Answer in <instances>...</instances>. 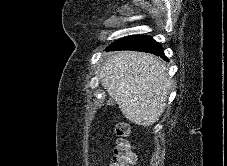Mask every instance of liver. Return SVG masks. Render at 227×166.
<instances>
[{
    "instance_id": "1",
    "label": "liver",
    "mask_w": 227,
    "mask_h": 166,
    "mask_svg": "<svg viewBox=\"0 0 227 166\" xmlns=\"http://www.w3.org/2000/svg\"><path fill=\"white\" fill-rule=\"evenodd\" d=\"M99 78L129 121L149 126L164 112L172 82L158 57L119 51L106 59Z\"/></svg>"
}]
</instances>
